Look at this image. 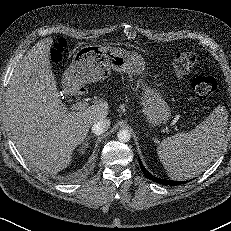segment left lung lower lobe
I'll use <instances>...</instances> for the list:
<instances>
[{"label":"left lung lower lobe","mask_w":231,"mask_h":231,"mask_svg":"<svg viewBox=\"0 0 231 231\" xmlns=\"http://www.w3.org/2000/svg\"><path fill=\"white\" fill-rule=\"evenodd\" d=\"M139 159V158H138ZM139 164L141 167V170L143 171L144 175L146 176V178L156 182V183H160V184H164V185H169V186H176V185H181V184H185L186 181H173V180H167V179H162V178H158L156 176H153L151 173H149L145 167L142 165L141 160L139 159Z\"/></svg>","instance_id":"1"}]
</instances>
